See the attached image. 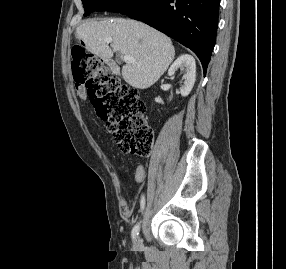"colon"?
<instances>
[{"label":"colon","instance_id":"5ec220e1","mask_svg":"<svg viewBox=\"0 0 286 269\" xmlns=\"http://www.w3.org/2000/svg\"><path fill=\"white\" fill-rule=\"evenodd\" d=\"M71 69L78 86L85 87L97 115L106 122L119 148L138 157L147 156L154 134L144 119L139 93L114 78L104 62L82 44L71 48Z\"/></svg>","mask_w":286,"mask_h":269}]
</instances>
